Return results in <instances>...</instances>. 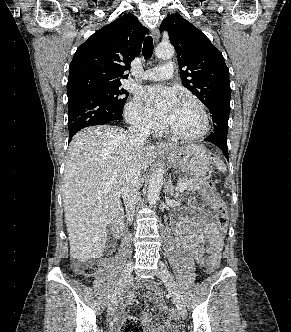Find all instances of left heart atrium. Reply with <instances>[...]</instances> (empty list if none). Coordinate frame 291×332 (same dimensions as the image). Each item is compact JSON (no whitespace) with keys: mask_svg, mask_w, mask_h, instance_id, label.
Segmentation results:
<instances>
[{"mask_svg":"<svg viewBox=\"0 0 291 332\" xmlns=\"http://www.w3.org/2000/svg\"><path fill=\"white\" fill-rule=\"evenodd\" d=\"M139 96L151 115L163 122H168L173 108L179 101L174 89L162 85L144 87L139 91Z\"/></svg>","mask_w":291,"mask_h":332,"instance_id":"obj_1","label":"left heart atrium"}]
</instances>
